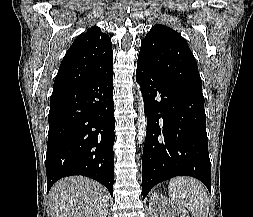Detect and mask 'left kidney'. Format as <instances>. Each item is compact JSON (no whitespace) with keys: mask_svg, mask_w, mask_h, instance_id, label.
Returning a JSON list of instances; mask_svg holds the SVG:
<instances>
[{"mask_svg":"<svg viewBox=\"0 0 253 217\" xmlns=\"http://www.w3.org/2000/svg\"><path fill=\"white\" fill-rule=\"evenodd\" d=\"M151 204L153 217H190L185 208L176 206L162 194L155 193L151 197Z\"/></svg>","mask_w":253,"mask_h":217,"instance_id":"left-kidney-1","label":"left kidney"}]
</instances>
